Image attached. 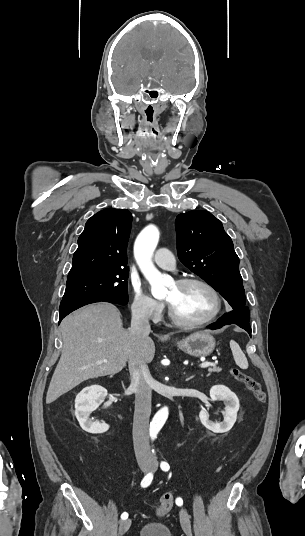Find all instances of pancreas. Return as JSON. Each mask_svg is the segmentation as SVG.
Masks as SVG:
<instances>
[{
    "mask_svg": "<svg viewBox=\"0 0 305 536\" xmlns=\"http://www.w3.org/2000/svg\"><path fill=\"white\" fill-rule=\"evenodd\" d=\"M222 368H208V372H221Z\"/></svg>",
    "mask_w": 305,
    "mask_h": 536,
    "instance_id": "cf45deb5",
    "label": "pancreas"
}]
</instances>
